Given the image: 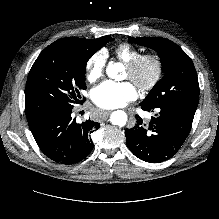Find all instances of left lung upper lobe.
<instances>
[{
    "instance_id": "5c2ea615",
    "label": "left lung upper lobe",
    "mask_w": 219,
    "mask_h": 219,
    "mask_svg": "<svg viewBox=\"0 0 219 219\" xmlns=\"http://www.w3.org/2000/svg\"><path fill=\"white\" fill-rule=\"evenodd\" d=\"M135 44L158 52L165 76L155 84L142 103L160 105L187 96H199V84L190 57L175 43L157 37L133 38Z\"/></svg>"
}]
</instances>
